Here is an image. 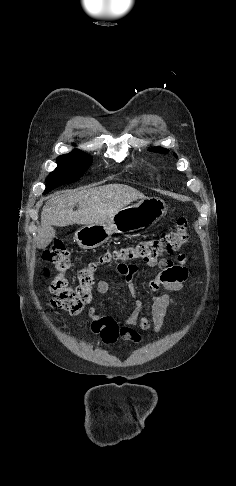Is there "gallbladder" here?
<instances>
[{
    "label": "gallbladder",
    "instance_id": "obj_1",
    "mask_svg": "<svg viewBox=\"0 0 236 486\" xmlns=\"http://www.w3.org/2000/svg\"><path fill=\"white\" fill-rule=\"evenodd\" d=\"M55 236V230L53 227L49 226L46 228H41V230L38 233V244L37 246L39 248H44L46 247L54 238Z\"/></svg>",
    "mask_w": 236,
    "mask_h": 486
}]
</instances>
